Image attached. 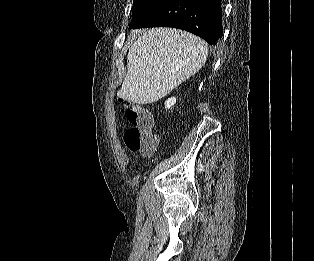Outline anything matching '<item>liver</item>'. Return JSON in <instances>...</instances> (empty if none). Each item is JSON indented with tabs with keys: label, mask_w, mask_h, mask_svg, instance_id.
I'll return each mask as SVG.
<instances>
[{
	"label": "liver",
	"mask_w": 314,
	"mask_h": 261,
	"mask_svg": "<svg viewBox=\"0 0 314 261\" xmlns=\"http://www.w3.org/2000/svg\"><path fill=\"white\" fill-rule=\"evenodd\" d=\"M207 55V44L191 33L149 29L129 49L127 75L117 95L136 104L154 103L196 74Z\"/></svg>",
	"instance_id": "1"
}]
</instances>
